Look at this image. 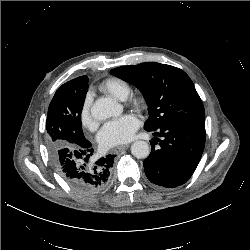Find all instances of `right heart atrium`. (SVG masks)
I'll list each match as a JSON object with an SVG mask.
<instances>
[{"instance_id": "1", "label": "right heart atrium", "mask_w": 250, "mask_h": 250, "mask_svg": "<svg viewBox=\"0 0 250 250\" xmlns=\"http://www.w3.org/2000/svg\"><path fill=\"white\" fill-rule=\"evenodd\" d=\"M90 105H91V99L90 97H86L81 109V123L84 127H86L89 130H93L96 127V122L92 117L91 111H90Z\"/></svg>"}]
</instances>
